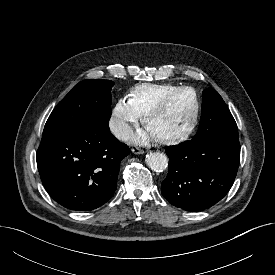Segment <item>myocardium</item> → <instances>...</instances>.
Returning a JSON list of instances; mask_svg holds the SVG:
<instances>
[{
    "label": "myocardium",
    "mask_w": 275,
    "mask_h": 275,
    "mask_svg": "<svg viewBox=\"0 0 275 275\" xmlns=\"http://www.w3.org/2000/svg\"><path fill=\"white\" fill-rule=\"evenodd\" d=\"M182 92H191L194 96V112H193L192 118L188 126L181 133L171 137L157 138L156 140L159 143L172 145V144L183 142L192 134V132L194 131L197 125L199 115H200V109H201L200 98L197 91L194 88L189 86L177 87L174 90L168 92L166 95H164L158 101V103H156L145 115L144 123L146 126H148V123L151 121V119L156 115H158L159 113H161L166 108V106L168 105V103L171 101L173 97H175L176 95Z\"/></svg>",
    "instance_id": "obj_1"
}]
</instances>
